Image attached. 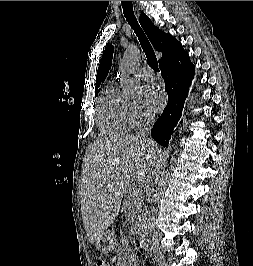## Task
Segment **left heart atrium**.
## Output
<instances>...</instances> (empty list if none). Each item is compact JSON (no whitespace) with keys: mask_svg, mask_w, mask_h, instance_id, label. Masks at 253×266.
<instances>
[{"mask_svg":"<svg viewBox=\"0 0 253 266\" xmlns=\"http://www.w3.org/2000/svg\"><path fill=\"white\" fill-rule=\"evenodd\" d=\"M144 98L147 107L153 111L158 112L163 108L166 102V93L156 84H147L143 88Z\"/></svg>","mask_w":253,"mask_h":266,"instance_id":"1","label":"left heart atrium"}]
</instances>
